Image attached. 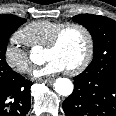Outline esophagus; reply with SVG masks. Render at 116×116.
Returning <instances> with one entry per match:
<instances>
[{
  "mask_svg": "<svg viewBox=\"0 0 116 116\" xmlns=\"http://www.w3.org/2000/svg\"><path fill=\"white\" fill-rule=\"evenodd\" d=\"M53 82V79H45L43 80V83L45 84H51Z\"/></svg>",
  "mask_w": 116,
  "mask_h": 116,
  "instance_id": "esophagus-1",
  "label": "esophagus"
}]
</instances>
